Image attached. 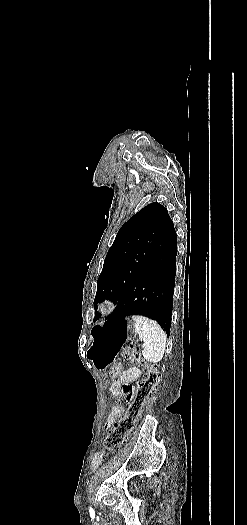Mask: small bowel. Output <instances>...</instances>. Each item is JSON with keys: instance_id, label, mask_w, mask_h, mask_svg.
<instances>
[{"instance_id": "1", "label": "small bowel", "mask_w": 247, "mask_h": 525, "mask_svg": "<svg viewBox=\"0 0 247 525\" xmlns=\"http://www.w3.org/2000/svg\"><path fill=\"white\" fill-rule=\"evenodd\" d=\"M141 375H142V371L135 367L125 370L124 372L121 373L119 379L114 381V383L112 384V387H111L112 391L115 390L116 388H119L122 384H129L130 382L138 379ZM124 412H125L124 406L115 405L107 419L106 427L110 428L116 422V420L124 414ZM104 456H105V453L103 452H98L94 455L93 460H92L93 469H97L100 466Z\"/></svg>"}]
</instances>
